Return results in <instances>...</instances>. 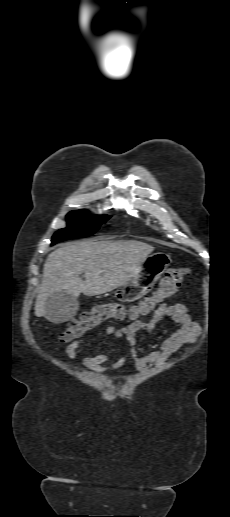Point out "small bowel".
Masks as SVG:
<instances>
[{
  "label": "small bowel",
  "instance_id": "1",
  "mask_svg": "<svg viewBox=\"0 0 230 517\" xmlns=\"http://www.w3.org/2000/svg\"><path fill=\"white\" fill-rule=\"evenodd\" d=\"M169 318L173 322L179 324V328L166 340L163 341L160 348L148 354H139L135 350L132 352L136 366L139 370H144L151 365L163 362L173 353L178 351L182 346L193 342L199 334V326L193 321L189 315V309L181 303L162 304L153 314L150 320H135L128 326L116 328L109 326L106 329V336L115 339H124L127 344L134 348L137 342L136 333L140 330L152 335L157 325L164 319ZM81 341H75L69 344L65 349V355L69 359L78 358V349ZM79 360L92 370L106 371L111 368L120 366L124 362V358H120L111 365L110 358L107 355L100 354L96 356H80Z\"/></svg>",
  "mask_w": 230,
  "mask_h": 517
}]
</instances>
